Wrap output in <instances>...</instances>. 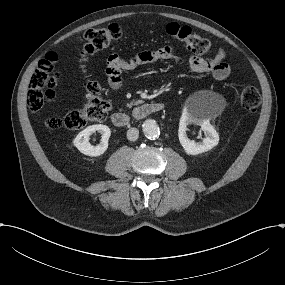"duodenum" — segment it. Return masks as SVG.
Masks as SVG:
<instances>
[{
	"label": "duodenum",
	"mask_w": 285,
	"mask_h": 285,
	"mask_svg": "<svg viewBox=\"0 0 285 285\" xmlns=\"http://www.w3.org/2000/svg\"><path fill=\"white\" fill-rule=\"evenodd\" d=\"M165 109L161 102H145L136 107L132 112L134 119L140 120L152 113H159ZM112 123L119 128H125L130 124L131 116L126 112H115L111 115Z\"/></svg>",
	"instance_id": "duodenum-1"
}]
</instances>
